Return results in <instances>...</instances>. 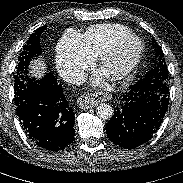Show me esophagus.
Instances as JSON below:
<instances>
[{"label": "esophagus", "mask_w": 183, "mask_h": 183, "mask_svg": "<svg viewBox=\"0 0 183 183\" xmlns=\"http://www.w3.org/2000/svg\"><path fill=\"white\" fill-rule=\"evenodd\" d=\"M110 99V95L107 93H95L90 95H81L78 100L77 104L78 107L81 109H89L96 106L98 103L102 101H107Z\"/></svg>", "instance_id": "obj_1"}]
</instances>
